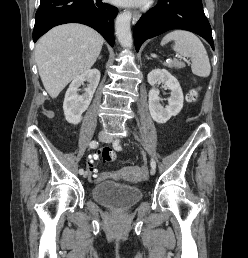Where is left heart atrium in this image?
<instances>
[{"label": "left heart atrium", "mask_w": 248, "mask_h": 258, "mask_svg": "<svg viewBox=\"0 0 248 258\" xmlns=\"http://www.w3.org/2000/svg\"><path fill=\"white\" fill-rule=\"evenodd\" d=\"M110 1L118 5L131 6V5H139L144 0H110Z\"/></svg>", "instance_id": "obj_1"}]
</instances>
